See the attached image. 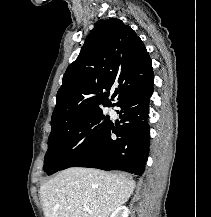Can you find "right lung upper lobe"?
<instances>
[{
    "label": "right lung upper lobe",
    "instance_id": "obj_1",
    "mask_svg": "<svg viewBox=\"0 0 211 217\" xmlns=\"http://www.w3.org/2000/svg\"><path fill=\"white\" fill-rule=\"evenodd\" d=\"M152 72L151 59L143 42L121 20H99L88 35L77 59L71 63L56 97L52 128L115 106L130 86ZM115 89L112 100L108 99Z\"/></svg>",
    "mask_w": 211,
    "mask_h": 217
}]
</instances>
